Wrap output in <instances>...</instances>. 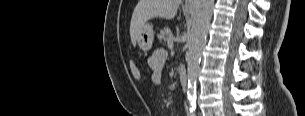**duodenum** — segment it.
Instances as JSON below:
<instances>
[{
  "label": "duodenum",
  "instance_id": "obj_1",
  "mask_svg": "<svg viewBox=\"0 0 305 116\" xmlns=\"http://www.w3.org/2000/svg\"><path fill=\"white\" fill-rule=\"evenodd\" d=\"M179 77H180L181 89L182 91H186L188 80H187L186 70L183 66H180L179 68Z\"/></svg>",
  "mask_w": 305,
  "mask_h": 116
}]
</instances>
